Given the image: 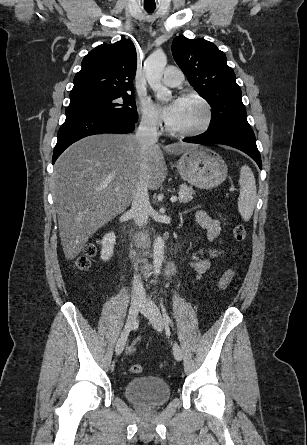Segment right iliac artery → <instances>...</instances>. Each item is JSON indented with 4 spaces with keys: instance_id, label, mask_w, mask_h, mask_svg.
Listing matches in <instances>:
<instances>
[{
    "instance_id": "obj_1",
    "label": "right iliac artery",
    "mask_w": 307,
    "mask_h": 445,
    "mask_svg": "<svg viewBox=\"0 0 307 445\" xmlns=\"http://www.w3.org/2000/svg\"><path fill=\"white\" fill-rule=\"evenodd\" d=\"M138 326V321H135L134 323H133V327L135 328V327H137Z\"/></svg>"
}]
</instances>
